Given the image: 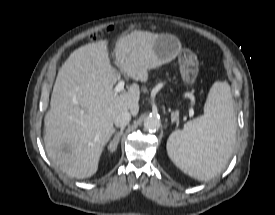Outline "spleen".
Returning <instances> with one entry per match:
<instances>
[{
  "label": "spleen",
  "instance_id": "obj_1",
  "mask_svg": "<svg viewBox=\"0 0 275 215\" xmlns=\"http://www.w3.org/2000/svg\"><path fill=\"white\" fill-rule=\"evenodd\" d=\"M236 141L233 99L227 82H215L208 94L204 115L174 131L167 152L174 164L189 176L207 181L220 173L231 157Z\"/></svg>",
  "mask_w": 275,
  "mask_h": 215
}]
</instances>
